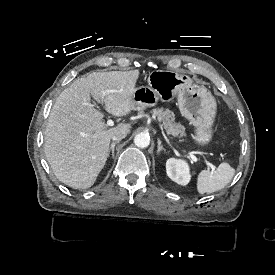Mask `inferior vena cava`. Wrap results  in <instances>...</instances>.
I'll return each mask as SVG.
<instances>
[{
    "label": "inferior vena cava",
    "mask_w": 275,
    "mask_h": 275,
    "mask_svg": "<svg viewBox=\"0 0 275 275\" xmlns=\"http://www.w3.org/2000/svg\"><path fill=\"white\" fill-rule=\"evenodd\" d=\"M127 134L128 133L125 129H118L114 132V134L112 136V140L113 141H120V140L124 139Z\"/></svg>",
    "instance_id": "obj_1"
}]
</instances>
